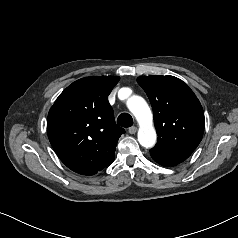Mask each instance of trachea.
Masks as SVG:
<instances>
[{
	"instance_id": "3493384b",
	"label": "trachea",
	"mask_w": 238,
	"mask_h": 238,
	"mask_svg": "<svg viewBox=\"0 0 238 238\" xmlns=\"http://www.w3.org/2000/svg\"><path fill=\"white\" fill-rule=\"evenodd\" d=\"M117 123L121 127H131L133 125V119L130 114L122 113L118 116Z\"/></svg>"
}]
</instances>
